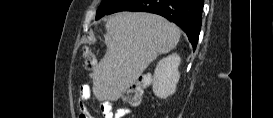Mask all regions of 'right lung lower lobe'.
I'll use <instances>...</instances> for the list:
<instances>
[{
    "instance_id": "obj_1",
    "label": "right lung lower lobe",
    "mask_w": 273,
    "mask_h": 118,
    "mask_svg": "<svg viewBox=\"0 0 273 118\" xmlns=\"http://www.w3.org/2000/svg\"><path fill=\"white\" fill-rule=\"evenodd\" d=\"M203 4L204 0H124L112 13L143 11L161 15L182 28L195 49L201 30Z\"/></svg>"
}]
</instances>
